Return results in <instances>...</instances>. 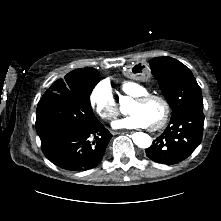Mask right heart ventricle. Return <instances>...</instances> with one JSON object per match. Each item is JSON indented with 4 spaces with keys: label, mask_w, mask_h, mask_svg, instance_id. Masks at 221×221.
<instances>
[{
    "label": "right heart ventricle",
    "mask_w": 221,
    "mask_h": 221,
    "mask_svg": "<svg viewBox=\"0 0 221 221\" xmlns=\"http://www.w3.org/2000/svg\"><path fill=\"white\" fill-rule=\"evenodd\" d=\"M120 89L126 96L133 99L150 93L145 86L135 81L122 82Z\"/></svg>",
    "instance_id": "e07e8e85"
}]
</instances>
